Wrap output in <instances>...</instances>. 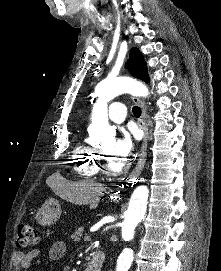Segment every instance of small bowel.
Masks as SVG:
<instances>
[{
	"label": "small bowel",
	"mask_w": 221,
	"mask_h": 271,
	"mask_svg": "<svg viewBox=\"0 0 221 271\" xmlns=\"http://www.w3.org/2000/svg\"><path fill=\"white\" fill-rule=\"evenodd\" d=\"M66 252V244L63 241H56L54 242L48 252L49 259L52 261H57L61 259ZM40 250L39 249H32L27 253L24 252H14L12 255V264L15 271H22L28 269L32 266V264L39 265ZM61 271H71L69 266H64Z\"/></svg>",
	"instance_id": "1"
}]
</instances>
